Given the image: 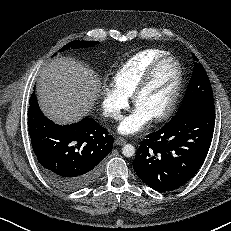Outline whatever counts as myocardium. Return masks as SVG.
<instances>
[{
  "instance_id": "f54148a6",
  "label": "myocardium",
  "mask_w": 231,
  "mask_h": 231,
  "mask_svg": "<svg viewBox=\"0 0 231 231\" xmlns=\"http://www.w3.org/2000/svg\"><path fill=\"white\" fill-rule=\"evenodd\" d=\"M168 60L173 61L176 65V80L168 104L166 105L165 109L161 113H159L157 116L152 118L154 122H161L167 119L175 110L183 85V70L180 61L176 57L170 54H165L155 59L145 71L143 77L141 78L140 82L138 83L132 94L133 104L134 106H137L140 96L149 86L157 69L160 67L161 64H163Z\"/></svg>"
}]
</instances>
